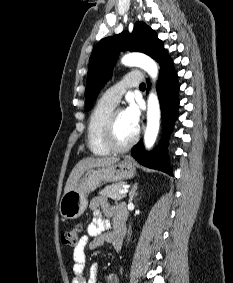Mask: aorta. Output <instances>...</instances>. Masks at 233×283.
Masks as SVG:
<instances>
[{
  "label": "aorta",
  "instance_id": "aorta-1",
  "mask_svg": "<svg viewBox=\"0 0 233 283\" xmlns=\"http://www.w3.org/2000/svg\"><path fill=\"white\" fill-rule=\"evenodd\" d=\"M121 63L125 66H137L144 69L155 82L158 78V67L156 62L142 53H129L122 57ZM160 128V104L154 90L148 97L147 104V127L144 134V144L147 150L151 149L157 139Z\"/></svg>",
  "mask_w": 233,
  "mask_h": 283
}]
</instances>
